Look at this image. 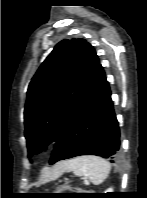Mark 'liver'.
Returning <instances> with one entry per match:
<instances>
[{
    "mask_svg": "<svg viewBox=\"0 0 147 198\" xmlns=\"http://www.w3.org/2000/svg\"><path fill=\"white\" fill-rule=\"evenodd\" d=\"M69 161H62L57 163L50 171L42 175V181L47 182L49 180H55L61 176L66 170H68Z\"/></svg>",
    "mask_w": 147,
    "mask_h": 198,
    "instance_id": "obj_1",
    "label": "liver"
}]
</instances>
